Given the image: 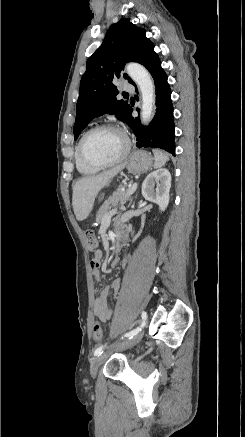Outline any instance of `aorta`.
<instances>
[{
	"mask_svg": "<svg viewBox=\"0 0 245 437\" xmlns=\"http://www.w3.org/2000/svg\"><path fill=\"white\" fill-rule=\"evenodd\" d=\"M126 71L141 91V120L143 124H147L152 118L153 105L155 103L154 82L149 72L138 63L128 64L126 66Z\"/></svg>",
	"mask_w": 245,
	"mask_h": 437,
	"instance_id": "aorta-1",
	"label": "aorta"
}]
</instances>
